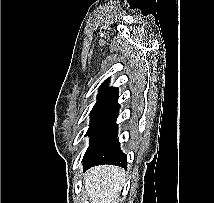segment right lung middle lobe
<instances>
[{
  "label": "right lung middle lobe",
  "instance_id": "right-lung-middle-lobe-1",
  "mask_svg": "<svg viewBox=\"0 0 214 203\" xmlns=\"http://www.w3.org/2000/svg\"><path fill=\"white\" fill-rule=\"evenodd\" d=\"M114 102H115L114 99H108V98H104V99L98 98L97 99V102L91 111L90 125H89V129H88L86 135H88V133L90 132V130L92 129L94 124L107 111V109L113 105Z\"/></svg>",
  "mask_w": 214,
  "mask_h": 203
}]
</instances>
